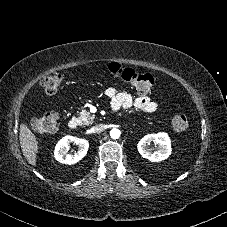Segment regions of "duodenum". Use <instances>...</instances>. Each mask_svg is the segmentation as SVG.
Segmentation results:
<instances>
[{
	"label": "duodenum",
	"mask_w": 227,
	"mask_h": 227,
	"mask_svg": "<svg viewBox=\"0 0 227 227\" xmlns=\"http://www.w3.org/2000/svg\"><path fill=\"white\" fill-rule=\"evenodd\" d=\"M68 126L71 130H76L79 126V121L77 118H72L69 123Z\"/></svg>",
	"instance_id": "duodenum-1"
}]
</instances>
